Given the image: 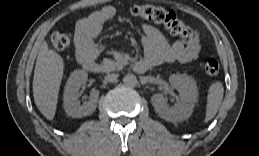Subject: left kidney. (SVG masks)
<instances>
[{
	"mask_svg": "<svg viewBox=\"0 0 259 156\" xmlns=\"http://www.w3.org/2000/svg\"><path fill=\"white\" fill-rule=\"evenodd\" d=\"M171 86L180 93V101L169 107L163 94L157 93L152 96L151 102L158 115L170 122H181L188 119L195 104L198 101V89L196 81L190 76L173 74L169 77Z\"/></svg>",
	"mask_w": 259,
	"mask_h": 156,
	"instance_id": "1",
	"label": "left kidney"
}]
</instances>
